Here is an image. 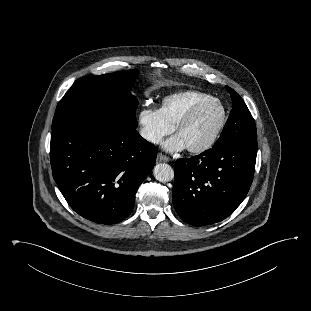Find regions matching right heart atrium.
I'll return each instance as SVG.
<instances>
[{
	"label": "right heart atrium",
	"instance_id": "d8ad5b80",
	"mask_svg": "<svg viewBox=\"0 0 311 311\" xmlns=\"http://www.w3.org/2000/svg\"><path fill=\"white\" fill-rule=\"evenodd\" d=\"M140 135L150 144H158L173 131L159 110L144 108L138 115Z\"/></svg>",
	"mask_w": 311,
	"mask_h": 311
}]
</instances>
